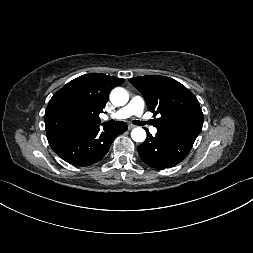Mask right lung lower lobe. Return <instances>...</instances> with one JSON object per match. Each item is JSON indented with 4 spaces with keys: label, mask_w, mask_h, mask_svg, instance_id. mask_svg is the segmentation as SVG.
Listing matches in <instances>:
<instances>
[{
    "label": "right lung lower lobe",
    "mask_w": 253,
    "mask_h": 253,
    "mask_svg": "<svg viewBox=\"0 0 253 253\" xmlns=\"http://www.w3.org/2000/svg\"><path fill=\"white\" fill-rule=\"evenodd\" d=\"M127 130L125 122L100 130L99 124L48 140L49 145L66 162L76 166H89L100 161L119 134Z\"/></svg>",
    "instance_id": "right-lung-lower-lobe-1"
}]
</instances>
